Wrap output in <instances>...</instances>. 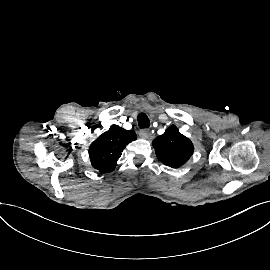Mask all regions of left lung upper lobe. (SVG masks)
<instances>
[{
    "instance_id": "1",
    "label": "left lung upper lobe",
    "mask_w": 270,
    "mask_h": 270,
    "mask_svg": "<svg viewBox=\"0 0 270 270\" xmlns=\"http://www.w3.org/2000/svg\"><path fill=\"white\" fill-rule=\"evenodd\" d=\"M159 161L172 168H179L191 157L194 147L189 138L176 126H170L163 135L152 142Z\"/></svg>"
}]
</instances>
